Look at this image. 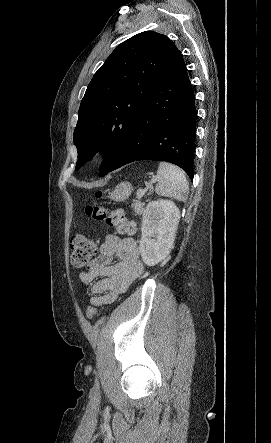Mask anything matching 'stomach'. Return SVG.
<instances>
[{
    "label": "stomach",
    "mask_w": 271,
    "mask_h": 443,
    "mask_svg": "<svg viewBox=\"0 0 271 443\" xmlns=\"http://www.w3.org/2000/svg\"><path fill=\"white\" fill-rule=\"evenodd\" d=\"M132 190L133 188L129 182H121L113 192H110L108 198L113 200V202H125L131 196Z\"/></svg>",
    "instance_id": "1"
}]
</instances>
